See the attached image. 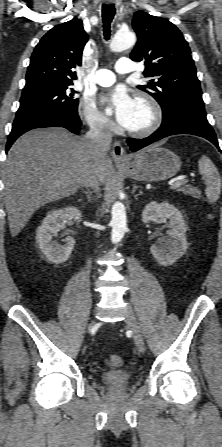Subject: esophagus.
Instances as JSON below:
<instances>
[{
	"label": "esophagus",
	"mask_w": 222,
	"mask_h": 447,
	"mask_svg": "<svg viewBox=\"0 0 222 447\" xmlns=\"http://www.w3.org/2000/svg\"><path fill=\"white\" fill-rule=\"evenodd\" d=\"M106 1L109 4L113 2V0H106ZM112 156L114 161L118 164L124 163L127 159V153L119 141H116L113 144Z\"/></svg>",
	"instance_id": "esophagus-1"
}]
</instances>
